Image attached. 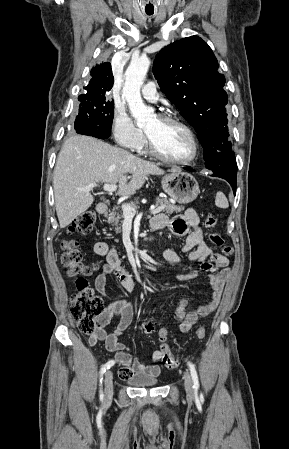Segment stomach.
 Segmentation results:
<instances>
[{
    "label": "stomach",
    "mask_w": 289,
    "mask_h": 449,
    "mask_svg": "<svg viewBox=\"0 0 289 449\" xmlns=\"http://www.w3.org/2000/svg\"><path fill=\"white\" fill-rule=\"evenodd\" d=\"M163 191L173 200L188 204L200 193L197 180L189 173L172 170L162 178Z\"/></svg>",
    "instance_id": "stomach-1"
}]
</instances>
